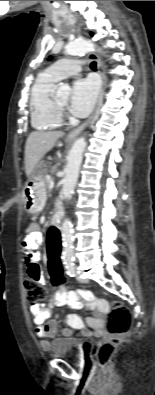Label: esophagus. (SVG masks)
<instances>
[{
  "label": "esophagus",
  "mask_w": 155,
  "mask_h": 395,
  "mask_svg": "<svg viewBox=\"0 0 155 395\" xmlns=\"http://www.w3.org/2000/svg\"><path fill=\"white\" fill-rule=\"evenodd\" d=\"M89 57L92 58L97 64V70H98V72L100 74V77H101L102 87H101V90H100V94H99L98 101H97V104H96L94 112L92 113V115L83 124H81L79 127H77L76 129H74V130H72V131H70L68 133L67 140L75 139L82 132V130L92 121L93 117L97 113L99 104H100L101 99H102V95H103L104 90H105L106 76H105V73H104V68H103L102 62L100 61L99 57L97 55H95L94 53H90Z\"/></svg>",
  "instance_id": "34e87169"
}]
</instances>
